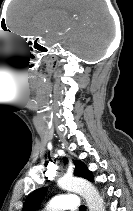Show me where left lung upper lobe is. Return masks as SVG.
<instances>
[{
  "label": "left lung upper lobe",
  "instance_id": "5c2ea615",
  "mask_svg": "<svg viewBox=\"0 0 133 211\" xmlns=\"http://www.w3.org/2000/svg\"><path fill=\"white\" fill-rule=\"evenodd\" d=\"M65 160L67 161L66 158ZM73 162L75 165L74 174L76 176L85 178L89 181H94L92 172L88 170L87 166L82 161L74 160ZM46 192H47V188L43 187L30 193L24 203V207L22 211H35L39 207L42 200L44 199Z\"/></svg>",
  "mask_w": 133,
  "mask_h": 211
}]
</instances>
